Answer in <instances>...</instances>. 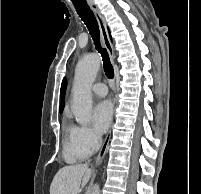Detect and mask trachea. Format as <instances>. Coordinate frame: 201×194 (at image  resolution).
<instances>
[{"label":"trachea","mask_w":201,"mask_h":194,"mask_svg":"<svg viewBox=\"0 0 201 194\" xmlns=\"http://www.w3.org/2000/svg\"><path fill=\"white\" fill-rule=\"evenodd\" d=\"M73 5L76 9L77 14L87 26L88 31L94 41V45L102 56L103 67L106 76L109 79H112L114 77V70L110 62L107 50L101 47L99 27L92 10L86 2H73Z\"/></svg>","instance_id":"1"}]
</instances>
